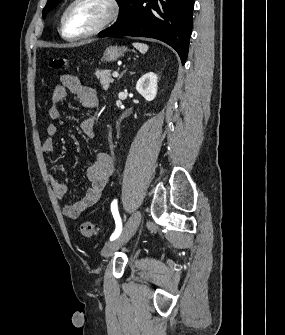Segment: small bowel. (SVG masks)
Wrapping results in <instances>:
<instances>
[{
    "label": "small bowel",
    "mask_w": 285,
    "mask_h": 335,
    "mask_svg": "<svg viewBox=\"0 0 285 335\" xmlns=\"http://www.w3.org/2000/svg\"><path fill=\"white\" fill-rule=\"evenodd\" d=\"M60 81L61 84L53 90L48 111L53 122L49 123L46 128L48 137L42 145V151L45 155H52L54 152V137L59 130L58 125L54 121L61 117L60 104L67 96L68 91L75 95L85 109L90 111V114L81 122L82 133L89 138H95L97 135L95 118L92 114L99 105L96 91L83 85L77 77L70 74L62 75ZM113 171L114 163L112 158L106 153H98L86 170V177L90 182L89 188L79 201L63 206V215L68 219H76L83 211L93 206L99 200ZM49 179L55 197L58 201L63 202L67 193L66 184L52 175Z\"/></svg>",
    "instance_id": "c3829d8e"
}]
</instances>
